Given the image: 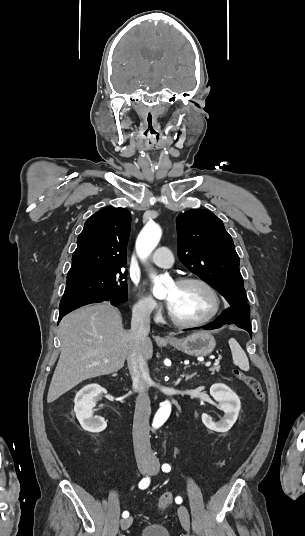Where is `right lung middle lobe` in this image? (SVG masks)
<instances>
[{
    "label": "right lung middle lobe",
    "mask_w": 305,
    "mask_h": 536,
    "mask_svg": "<svg viewBox=\"0 0 305 536\" xmlns=\"http://www.w3.org/2000/svg\"><path fill=\"white\" fill-rule=\"evenodd\" d=\"M126 272L121 269L92 272L67 278L62 299L71 297H93L126 302L128 288Z\"/></svg>",
    "instance_id": "right-lung-middle-lobe-1"
}]
</instances>
